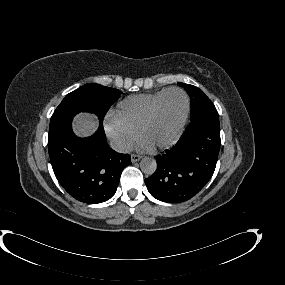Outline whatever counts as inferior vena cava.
I'll list each match as a JSON object with an SVG mask.
<instances>
[{
	"label": "inferior vena cava",
	"instance_id": "inferior-vena-cava-1",
	"mask_svg": "<svg viewBox=\"0 0 285 285\" xmlns=\"http://www.w3.org/2000/svg\"><path fill=\"white\" fill-rule=\"evenodd\" d=\"M110 147L119 153H129L133 150V144L123 138H113L110 140Z\"/></svg>",
	"mask_w": 285,
	"mask_h": 285
}]
</instances>
